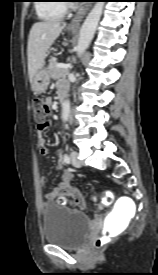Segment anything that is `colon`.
<instances>
[{"label": "colon", "instance_id": "5ec220e1", "mask_svg": "<svg viewBox=\"0 0 158 275\" xmlns=\"http://www.w3.org/2000/svg\"><path fill=\"white\" fill-rule=\"evenodd\" d=\"M32 107L34 112V118L37 122V128L39 130H45L48 128V115H49V102L43 98H34L32 100ZM63 203L64 199L59 198ZM114 196L111 191H105L102 195V200L105 205H110L113 202ZM109 238V234L104 233L99 236L95 241L97 248L101 247Z\"/></svg>", "mask_w": 158, "mask_h": 275}]
</instances>
